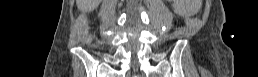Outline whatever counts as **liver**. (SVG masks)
Segmentation results:
<instances>
[{
  "label": "liver",
  "instance_id": "obj_1",
  "mask_svg": "<svg viewBox=\"0 0 258 77\" xmlns=\"http://www.w3.org/2000/svg\"><path fill=\"white\" fill-rule=\"evenodd\" d=\"M91 2L92 0H76V4L78 8L81 10L88 8Z\"/></svg>",
  "mask_w": 258,
  "mask_h": 77
}]
</instances>
